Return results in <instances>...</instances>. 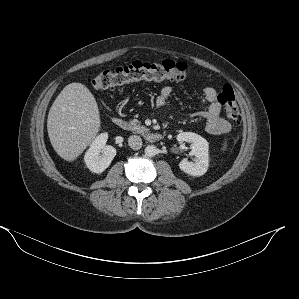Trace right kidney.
Listing matches in <instances>:
<instances>
[{
	"instance_id": "ca27d5eb",
	"label": "right kidney",
	"mask_w": 299,
	"mask_h": 299,
	"mask_svg": "<svg viewBox=\"0 0 299 299\" xmlns=\"http://www.w3.org/2000/svg\"><path fill=\"white\" fill-rule=\"evenodd\" d=\"M107 139V133L100 134L92 142L84 156L85 164L92 172L102 173L109 167L116 155V149L113 146L106 145Z\"/></svg>"
}]
</instances>
